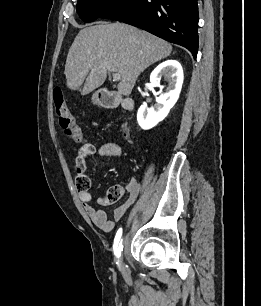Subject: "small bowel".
Masks as SVG:
<instances>
[{
	"instance_id": "obj_1",
	"label": "small bowel",
	"mask_w": 261,
	"mask_h": 306,
	"mask_svg": "<svg viewBox=\"0 0 261 306\" xmlns=\"http://www.w3.org/2000/svg\"><path fill=\"white\" fill-rule=\"evenodd\" d=\"M94 153L95 148L92 154ZM97 153L101 157H120L123 154V150L117 143H105L100 146ZM76 182L77 186L82 183L87 184L85 188L78 187V197L92 222L105 232H109L114 228L115 224L124 216L126 210L136 201L141 190L139 182L131 178L125 186V190L128 192V199L123 205L117 207L109 218L104 210L98 209L91 204L92 196L89 191L91 181L87 174L86 160L83 162L76 161ZM117 186L120 187L123 193L124 188Z\"/></svg>"
}]
</instances>
